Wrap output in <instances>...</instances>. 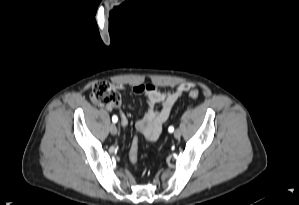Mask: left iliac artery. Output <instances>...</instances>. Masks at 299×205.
I'll return each instance as SVG.
<instances>
[{"mask_svg": "<svg viewBox=\"0 0 299 205\" xmlns=\"http://www.w3.org/2000/svg\"><path fill=\"white\" fill-rule=\"evenodd\" d=\"M168 131L171 133V132H173L174 131V127L173 126H170L169 128H168Z\"/></svg>", "mask_w": 299, "mask_h": 205, "instance_id": "44dca946", "label": "left iliac artery"}]
</instances>
